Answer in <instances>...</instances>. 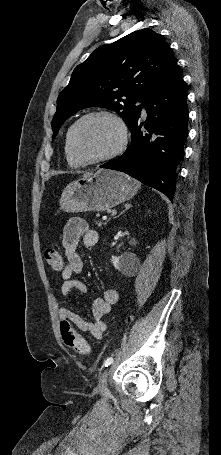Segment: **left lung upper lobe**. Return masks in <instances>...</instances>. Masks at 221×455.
I'll return each mask as SVG.
<instances>
[{
    "mask_svg": "<svg viewBox=\"0 0 221 455\" xmlns=\"http://www.w3.org/2000/svg\"><path fill=\"white\" fill-rule=\"evenodd\" d=\"M175 63L164 39L147 28L97 48L58 96L53 137L70 116L92 106L117 112L131 129L145 99Z\"/></svg>",
    "mask_w": 221,
    "mask_h": 455,
    "instance_id": "left-lung-upper-lobe-1",
    "label": "left lung upper lobe"
}]
</instances>
